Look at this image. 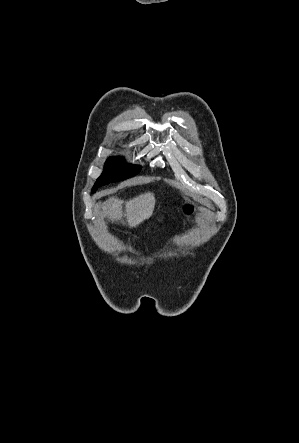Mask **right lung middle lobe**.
I'll use <instances>...</instances> for the list:
<instances>
[{
    "label": "right lung middle lobe",
    "mask_w": 299,
    "mask_h": 443,
    "mask_svg": "<svg viewBox=\"0 0 299 443\" xmlns=\"http://www.w3.org/2000/svg\"><path fill=\"white\" fill-rule=\"evenodd\" d=\"M140 170V166L125 165L122 158L110 157L106 161L103 174L98 178L93 186L92 193L95 192L100 186L130 178L138 174Z\"/></svg>",
    "instance_id": "1"
}]
</instances>
